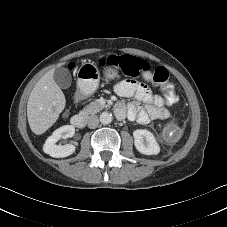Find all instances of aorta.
Masks as SVG:
<instances>
[{
    "instance_id": "762f6f07",
    "label": "aorta",
    "mask_w": 227,
    "mask_h": 227,
    "mask_svg": "<svg viewBox=\"0 0 227 227\" xmlns=\"http://www.w3.org/2000/svg\"><path fill=\"white\" fill-rule=\"evenodd\" d=\"M112 119V114L109 112L105 111L100 114V122L102 124H110L112 122Z\"/></svg>"
}]
</instances>
